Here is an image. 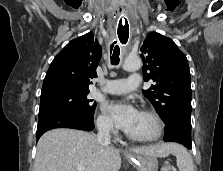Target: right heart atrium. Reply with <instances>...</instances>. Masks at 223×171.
Masks as SVG:
<instances>
[{"label":"right heart atrium","mask_w":223,"mask_h":171,"mask_svg":"<svg viewBox=\"0 0 223 171\" xmlns=\"http://www.w3.org/2000/svg\"><path fill=\"white\" fill-rule=\"evenodd\" d=\"M97 128L106 134H113L115 132L112 121L105 114H100L96 121Z\"/></svg>","instance_id":"obj_1"}]
</instances>
